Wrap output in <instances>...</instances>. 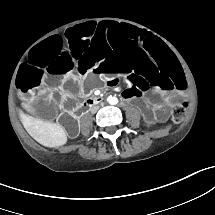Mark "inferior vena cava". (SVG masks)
<instances>
[{"label": "inferior vena cava", "mask_w": 215, "mask_h": 215, "mask_svg": "<svg viewBox=\"0 0 215 215\" xmlns=\"http://www.w3.org/2000/svg\"><path fill=\"white\" fill-rule=\"evenodd\" d=\"M98 109H99L98 106H94V107H92L91 112H92V113H95Z\"/></svg>", "instance_id": "1"}]
</instances>
